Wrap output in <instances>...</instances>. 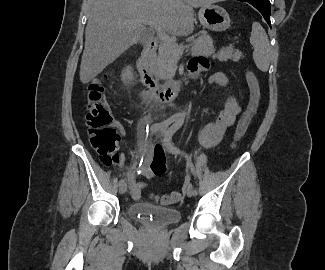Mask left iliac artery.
I'll list each match as a JSON object with an SVG mask.
<instances>
[{
    "label": "left iliac artery",
    "mask_w": 325,
    "mask_h": 270,
    "mask_svg": "<svg viewBox=\"0 0 325 270\" xmlns=\"http://www.w3.org/2000/svg\"><path fill=\"white\" fill-rule=\"evenodd\" d=\"M181 127V122H176L174 123L170 128L169 130L167 131L166 133V136H165V142L168 146V148L174 153V154H183L186 159H187V163L188 165L190 166L191 168V171L193 172L194 174V168H193V165H192V162H191V158L186 154L184 153L183 151H181L178 147H176L174 145V143L172 142V137L173 135L175 134V132ZM198 191L197 189H194V194L197 195Z\"/></svg>",
    "instance_id": "44dca946"
}]
</instances>
